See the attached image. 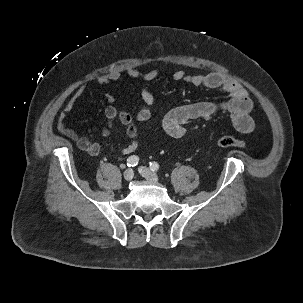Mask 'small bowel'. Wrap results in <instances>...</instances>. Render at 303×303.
Segmentation results:
<instances>
[{
  "label": "small bowel",
  "mask_w": 303,
  "mask_h": 303,
  "mask_svg": "<svg viewBox=\"0 0 303 303\" xmlns=\"http://www.w3.org/2000/svg\"><path fill=\"white\" fill-rule=\"evenodd\" d=\"M124 72L131 78L142 79L146 82L153 81L160 76L159 70L154 69L143 72L133 66H129ZM121 78L122 73L120 71L112 70L98 76L96 83L98 86H102L118 82ZM173 79L178 82H187L195 86H204L208 89L223 91L229 94V98L223 102H198L170 110L163 119L164 129L169 136L181 138L187 134L189 123L198 119H208L219 112L230 114L232 124L237 131L245 134L253 131L254 121L250 116L253 103L248 91L240 83L217 72L189 74L184 70L175 71ZM85 90L86 85L83 84L73 92L59 115L57 127L80 150L90 156H98L101 152L100 145L91 138L78 134L67 125L68 115L72 112L77 100ZM105 99L108 103L104 111L106 126L102 129L101 135L108 137L112 132L115 122L119 121L125 127L126 134L130 139V142L122 148L121 152L125 155L132 154L139 145L138 125L148 122L152 117V106L155 101L154 95L147 86L142 88L141 100L143 105L135 117L113 105L115 101L113 93L107 92Z\"/></svg>",
  "instance_id": "1"
}]
</instances>
